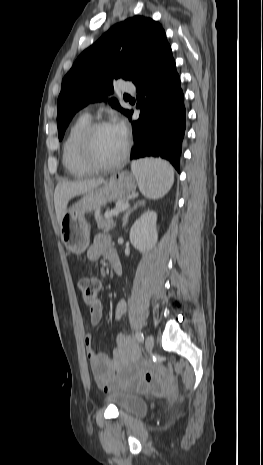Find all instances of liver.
Masks as SVG:
<instances>
[{"mask_svg":"<svg viewBox=\"0 0 263 465\" xmlns=\"http://www.w3.org/2000/svg\"><path fill=\"white\" fill-rule=\"evenodd\" d=\"M103 183V178L58 183L54 191V206L59 224L67 210L68 202L74 196L85 194Z\"/></svg>","mask_w":263,"mask_h":465,"instance_id":"1","label":"liver"}]
</instances>
